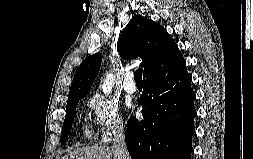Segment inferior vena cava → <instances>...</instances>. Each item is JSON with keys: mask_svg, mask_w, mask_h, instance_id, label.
<instances>
[{"mask_svg": "<svg viewBox=\"0 0 253 159\" xmlns=\"http://www.w3.org/2000/svg\"><path fill=\"white\" fill-rule=\"evenodd\" d=\"M113 142V148L118 155V159H131L126 147L124 129L122 126L118 127L114 132Z\"/></svg>", "mask_w": 253, "mask_h": 159, "instance_id": "1", "label": "inferior vena cava"}]
</instances>
